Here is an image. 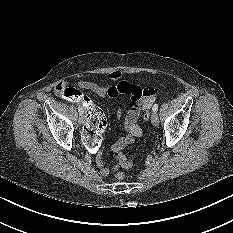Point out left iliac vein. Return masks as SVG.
Listing matches in <instances>:
<instances>
[{"label": "left iliac vein", "instance_id": "1", "mask_svg": "<svg viewBox=\"0 0 233 233\" xmlns=\"http://www.w3.org/2000/svg\"><path fill=\"white\" fill-rule=\"evenodd\" d=\"M151 123L154 126H158V124H159V118H158V114L156 112H153L151 115Z\"/></svg>", "mask_w": 233, "mask_h": 233}]
</instances>
